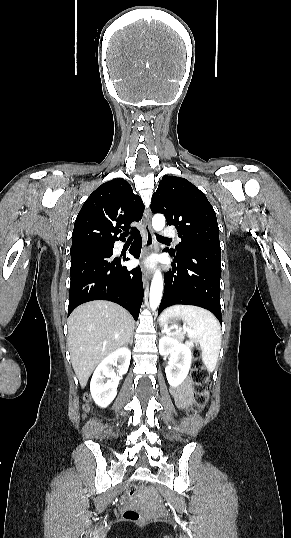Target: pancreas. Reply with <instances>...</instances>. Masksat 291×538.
I'll use <instances>...</instances> for the list:
<instances>
[{"label":"pancreas","instance_id":"cf45deb5","mask_svg":"<svg viewBox=\"0 0 291 538\" xmlns=\"http://www.w3.org/2000/svg\"><path fill=\"white\" fill-rule=\"evenodd\" d=\"M171 336L174 337V338H176V339L179 340V341L184 340V336L179 335V334H171Z\"/></svg>","mask_w":291,"mask_h":538}]
</instances>
